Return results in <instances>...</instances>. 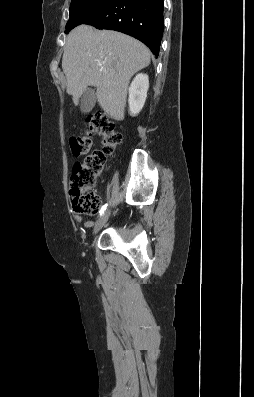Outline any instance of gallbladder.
Listing matches in <instances>:
<instances>
[{"mask_svg": "<svg viewBox=\"0 0 254 397\" xmlns=\"http://www.w3.org/2000/svg\"><path fill=\"white\" fill-rule=\"evenodd\" d=\"M96 102V93L94 89L87 88L81 98L80 109L83 113H88L92 110Z\"/></svg>", "mask_w": 254, "mask_h": 397, "instance_id": "obj_1", "label": "gallbladder"}]
</instances>
